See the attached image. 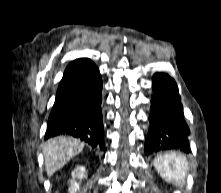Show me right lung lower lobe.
<instances>
[{
	"mask_svg": "<svg viewBox=\"0 0 221 193\" xmlns=\"http://www.w3.org/2000/svg\"><path fill=\"white\" fill-rule=\"evenodd\" d=\"M101 92V76L91 61L58 88L45 139L71 135L89 143L93 148L103 150Z\"/></svg>",
	"mask_w": 221,
	"mask_h": 193,
	"instance_id": "obj_1",
	"label": "right lung lower lobe"
}]
</instances>
